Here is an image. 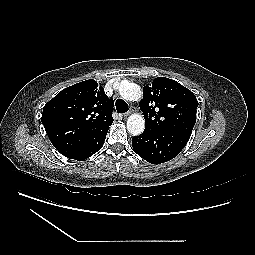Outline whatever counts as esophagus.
<instances>
[{"label": "esophagus", "mask_w": 255, "mask_h": 255, "mask_svg": "<svg viewBox=\"0 0 255 255\" xmlns=\"http://www.w3.org/2000/svg\"><path fill=\"white\" fill-rule=\"evenodd\" d=\"M132 111H133V110H132V109H130L128 112L124 113V115H123V116H124V117L129 116V115L132 113Z\"/></svg>", "instance_id": "34e87169"}]
</instances>
